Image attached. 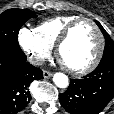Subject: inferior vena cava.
Listing matches in <instances>:
<instances>
[{
	"instance_id": "obj_1",
	"label": "inferior vena cava",
	"mask_w": 114,
	"mask_h": 114,
	"mask_svg": "<svg viewBox=\"0 0 114 114\" xmlns=\"http://www.w3.org/2000/svg\"><path fill=\"white\" fill-rule=\"evenodd\" d=\"M44 61L45 59L40 55H32L28 57V62L33 65H37V66L43 65Z\"/></svg>"
}]
</instances>
